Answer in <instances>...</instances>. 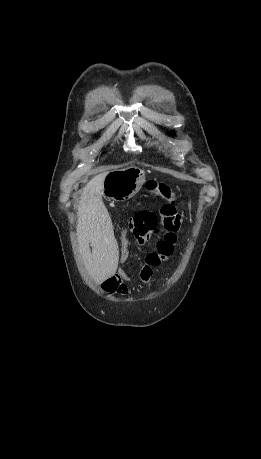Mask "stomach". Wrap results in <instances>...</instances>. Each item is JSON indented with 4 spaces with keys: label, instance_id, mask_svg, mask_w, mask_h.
<instances>
[{
    "label": "stomach",
    "instance_id": "0dacf381",
    "mask_svg": "<svg viewBox=\"0 0 261 459\" xmlns=\"http://www.w3.org/2000/svg\"><path fill=\"white\" fill-rule=\"evenodd\" d=\"M145 174L136 167L111 171L104 180L103 194L114 201L132 198L143 186Z\"/></svg>",
    "mask_w": 261,
    "mask_h": 459
}]
</instances>
